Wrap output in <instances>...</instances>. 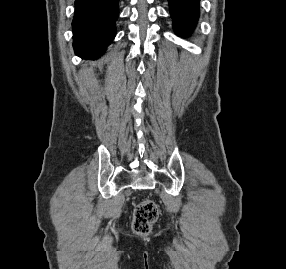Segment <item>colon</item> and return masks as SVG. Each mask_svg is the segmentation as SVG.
Masks as SVG:
<instances>
[{"label": "colon", "instance_id": "obj_1", "mask_svg": "<svg viewBox=\"0 0 286 269\" xmlns=\"http://www.w3.org/2000/svg\"><path fill=\"white\" fill-rule=\"evenodd\" d=\"M158 217L159 211L156 203L150 199L143 200L133 212L132 228L134 232L140 235L148 234Z\"/></svg>", "mask_w": 286, "mask_h": 269}]
</instances>
